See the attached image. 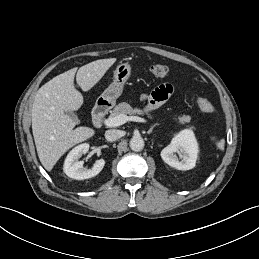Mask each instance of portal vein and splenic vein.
Returning a JSON list of instances; mask_svg holds the SVG:
<instances>
[{
	"label": "portal vein and splenic vein",
	"instance_id": "18ae733b",
	"mask_svg": "<svg viewBox=\"0 0 259 259\" xmlns=\"http://www.w3.org/2000/svg\"><path fill=\"white\" fill-rule=\"evenodd\" d=\"M127 121H135V122H146L144 118L138 117V116H127L124 114H120L115 117H109L103 121L104 125L107 127H117L120 126Z\"/></svg>",
	"mask_w": 259,
	"mask_h": 259
}]
</instances>
